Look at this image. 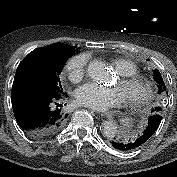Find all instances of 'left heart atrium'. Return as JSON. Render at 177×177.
I'll list each match as a JSON object with an SVG mask.
<instances>
[{
	"instance_id": "obj_1",
	"label": "left heart atrium",
	"mask_w": 177,
	"mask_h": 177,
	"mask_svg": "<svg viewBox=\"0 0 177 177\" xmlns=\"http://www.w3.org/2000/svg\"><path fill=\"white\" fill-rule=\"evenodd\" d=\"M75 98L79 104L97 111H107L125 100L120 88L106 87L93 82L80 86L75 92Z\"/></svg>"
}]
</instances>
